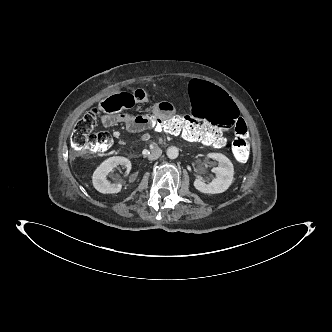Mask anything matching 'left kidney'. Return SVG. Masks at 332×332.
I'll return each mask as SVG.
<instances>
[{
	"mask_svg": "<svg viewBox=\"0 0 332 332\" xmlns=\"http://www.w3.org/2000/svg\"><path fill=\"white\" fill-rule=\"evenodd\" d=\"M207 157L216 160L219 164L218 167H214L211 170L216 177L209 183H205L201 178L196 179L193 183L194 187L202 193H223L233 182V164L225 155L221 153H209Z\"/></svg>",
	"mask_w": 332,
	"mask_h": 332,
	"instance_id": "5707ae66",
	"label": "left kidney"
}]
</instances>
